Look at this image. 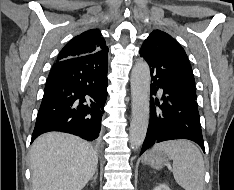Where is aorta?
Instances as JSON below:
<instances>
[{"mask_svg":"<svg viewBox=\"0 0 234 190\" xmlns=\"http://www.w3.org/2000/svg\"><path fill=\"white\" fill-rule=\"evenodd\" d=\"M150 69L139 60L131 72L132 116L129 129L130 146L138 149L146 136L149 120Z\"/></svg>","mask_w":234,"mask_h":190,"instance_id":"aorta-1","label":"aorta"}]
</instances>
